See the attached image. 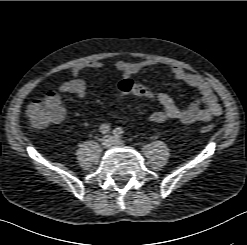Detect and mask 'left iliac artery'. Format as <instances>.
I'll return each mask as SVG.
<instances>
[{
	"label": "left iliac artery",
	"instance_id": "44dca946",
	"mask_svg": "<svg viewBox=\"0 0 247 245\" xmlns=\"http://www.w3.org/2000/svg\"><path fill=\"white\" fill-rule=\"evenodd\" d=\"M114 135L115 136H117V137H120V136H122L123 135V133H124V131H123V129L122 128H120V127H118V128H116V129H114Z\"/></svg>",
	"mask_w": 247,
	"mask_h": 245
}]
</instances>
